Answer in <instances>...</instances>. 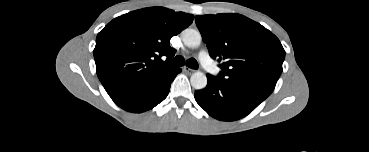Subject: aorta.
I'll return each instance as SVG.
<instances>
[{
	"label": "aorta",
	"instance_id": "obj_1",
	"mask_svg": "<svg viewBox=\"0 0 369 152\" xmlns=\"http://www.w3.org/2000/svg\"><path fill=\"white\" fill-rule=\"evenodd\" d=\"M202 37L195 29H185L182 32V41L189 48H197L201 43ZM190 82L193 88L201 90L207 85V77L204 73L197 71L191 75Z\"/></svg>",
	"mask_w": 369,
	"mask_h": 152
}]
</instances>
